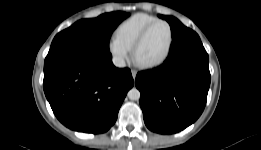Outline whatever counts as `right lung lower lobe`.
<instances>
[{"label": "right lung lower lobe", "instance_id": "1", "mask_svg": "<svg viewBox=\"0 0 261 150\" xmlns=\"http://www.w3.org/2000/svg\"><path fill=\"white\" fill-rule=\"evenodd\" d=\"M110 52L66 48L45 58L43 88L50 106L66 127L104 133L116 121L134 81L128 68H116Z\"/></svg>", "mask_w": 261, "mask_h": 150}]
</instances>
